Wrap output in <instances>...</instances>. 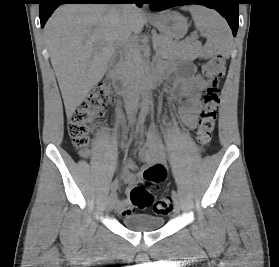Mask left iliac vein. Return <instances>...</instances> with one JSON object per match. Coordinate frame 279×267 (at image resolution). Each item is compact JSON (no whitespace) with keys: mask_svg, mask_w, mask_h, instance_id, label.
<instances>
[{"mask_svg":"<svg viewBox=\"0 0 279 267\" xmlns=\"http://www.w3.org/2000/svg\"><path fill=\"white\" fill-rule=\"evenodd\" d=\"M180 203L178 201V198L174 200V211L175 213H179L180 212Z\"/></svg>","mask_w":279,"mask_h":267,"instance_id":"left-iliac-vein-1","label":"left iliac vein"}]
</instances>
